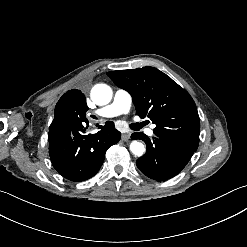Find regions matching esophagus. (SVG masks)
Listing matches in <instances>:
<instances>
[{
    "mask_svg": "<svg viewBox=\"0 0 247 247\" xmlns=\"http://www.w3.org/2000/svg\"><path fill=\"white\" fill-rule=\"evenodd\" d=\"M121 139H122L123 141L129 140V139H130V134H129V133H123V134L121 135Z\"/></svg>",
    "mask_w": 247,
    "mask_h": 247,
    "instance_id": "esophagus-1",
    "label": "esophagus"
}]
</instances>
